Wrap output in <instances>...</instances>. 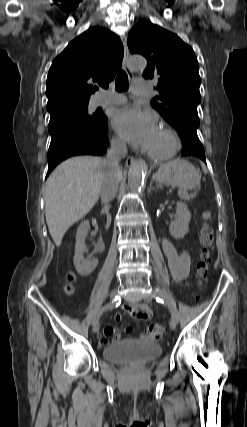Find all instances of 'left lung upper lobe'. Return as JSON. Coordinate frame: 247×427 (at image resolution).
Wrapping results in <instances>:
<instances>
[{"label":"left lung upper lobe","instance_id":"obj_1","mask_svg":"<svg viewBox=\"0 0 247 427\" xmlns=\"http://www.w3.org/2000/svg\"><path fill=\"white\" fill-rule=\"evenodd\" d=\"M132 54L147 59L145 78H158L159 96L154 107L174 128L183 125L197 129L200 103L199 64L193 49L173 34L149 21H139L128 34Z\"/></svg>","mask_w":247,"mask_h":427}]
</instances>
